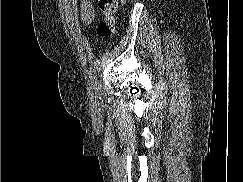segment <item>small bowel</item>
<instances>
[{
	"label": "small bowel",
	"mask_w": 243,
	"mask_h": 182,
	"mask_svg": "<svg viewBox=\"0 0 243 182\" xmlns=\"http://www.w3.org/2000/svg\"><path fill=\"white\" fill-rule=\"evenodd\" d=\"M81 18L85 24H90L95 18V9L91 2L88 0H82L81 2Z\"/></svg>",
	"instance_id": "c3829d8e"
}]
</instances>
